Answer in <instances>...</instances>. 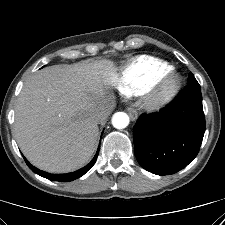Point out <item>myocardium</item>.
I'll return each instance as SVG.
<instances>
[{
  "mask_svg": "<svg viewBox=\"0 0 225 225\" xmlns=\"http://www.w3.org/2000/svg\"><path fill=\"white\" fill-rule=\"evenodd\" d=\"M179 78L174 73L161 75L146 91L143 98L147 110H158L169 104L179 90Z\"/></svg>",
  "mask_w": 225,
  "mask_h": 225,
  "instance_id": "myocardium-1",
  "label": "myocardium"
}]
</instances>
